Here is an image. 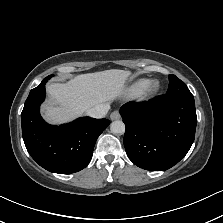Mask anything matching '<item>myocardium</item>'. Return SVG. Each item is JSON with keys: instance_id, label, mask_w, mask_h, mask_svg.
<instances>
[{"instance_id": "myocardium-1", "label": "myocardium", "mask_w": 223, "mask_h": 223, "mask_svg": "<svg viewBox=\"0 0 223 223\" xmlns=\"http://www.w3.org/2000/svg\"><path fill=\"white\" fill-rule=\"evenodd\" d=\"M160 89V83L156 79L145 80L136 94L138 99H147L157 94Z\"/></svg>"}]
</instances>
